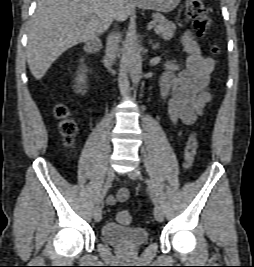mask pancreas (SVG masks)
Wrapping results in <instances>:
<instances>
[{
  "mask_svg": "<svg viewBox=\"0 0 254 267\" xmlns=\"http://www.w3.org/2000/svg\"><path fill=\"white\" fill-rule=\"evenodd\" d=\"M153 21L156 23L154 31L157 35H160L163 39L169 40L174 37V31L176 26L173 22L167 21L162 14H153Z\"/></svg>",
  "mask_w": 254,
  "mask_h": 267,
  "instance_id": "obj_1",
  "label": "pancreas"
}]
</instances>
